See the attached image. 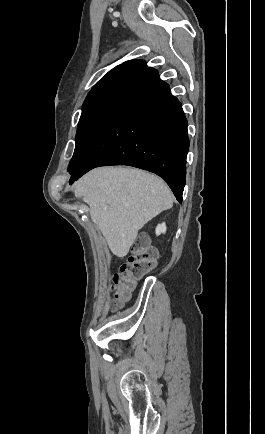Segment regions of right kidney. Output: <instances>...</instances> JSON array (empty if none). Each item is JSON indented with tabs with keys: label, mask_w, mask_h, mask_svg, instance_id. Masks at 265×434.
I'll list each match as a JSON object with an SVG mask.
<instances>
[{
	"label": "right kidney",
	"mask_w": 265,
	"mask_h": 434,
	"mask_svg": "<svg viewBox=\"0 0 265 434\" xmlns=\"http://www.w3.org/2000/svg\"><path fill=\"white\" fill-rule=\"evenodd\" d=\"M165 232H166L165 222H163V224H158L157 228H155L156 236H160V234H165Z\"/></svg>",
	"instance_id": "ca27d5eb"
}]
</instances>
